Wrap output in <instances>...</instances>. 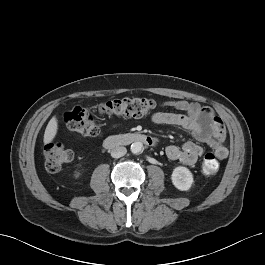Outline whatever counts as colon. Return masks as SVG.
<instances>
[{
    "label": "colon",
    "instance_id": "1",
    "mask_svg": "<svg viewBox=\"0 0 265 265\" xmlns=\"http://www.w3.org/2000/svg\"><path fill=\"white\" fill-rule=\"evenodd\" d=\"M157 107L153 99L140 97H127L101 103L94 107L99 113L139 118L151 114ZM67 129L83 137H95L100 133V127L88 108L74 107L64 115ZM45 165L49 172H58L64 165L73 159V152L61 144L50 143L45 147ZM204 174L213 175L219 170V161L215 154L207 153L201 163Z\"/></svg>",
    "mask_w": 265,
    "mask_h": 265
}]
</instances>
